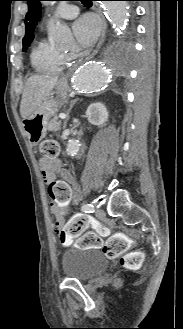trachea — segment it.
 <instances>
[{"label":"trachea","instance_id":"1","mask_svg":"<svg viewBox=\"0 0 183 329\" xmlns=\"http://www.w3.org/2000/svg\"><path fill=\"white\" fill-rule=\"evenodd\" d=\"M79 1H81L84 5H91L92 4V0H79Z\"/></svg>","mask_w":183,"mask_h":329}]
</instances>
